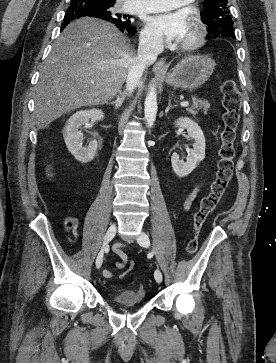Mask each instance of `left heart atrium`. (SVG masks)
Returning a JSON list of instances; mask_svg holds the SVG:
<instances>
[{
	"label": "left heart atrium",
	"instance_id": "39dd6f15",
	"mask_svg": "<svg viewBox=\"0 0 276 363\" xmlns=\"http://www.w3.org/2000/svg\"><path fill=\"white\" fill-rule=\"evenodd\" d=\"M146 23L157 37L180 42L188 30L189 17L182 10L162 12L148 17Z\"/></svg>",
	"mask_w": 276,
	"mask_h": 363
}]
</instances>
